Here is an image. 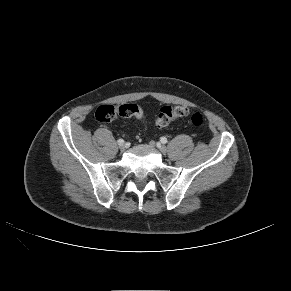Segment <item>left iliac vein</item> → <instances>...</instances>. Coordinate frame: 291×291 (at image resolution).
I'll return each mask as SVG.
<instances>
[{
  "label": "left iliac vein",
  "instance_id": "obj_1",
  "mask_svg": "<svg viewBox=\"0 0 291 291\" xmlns=\"http://www.w3.org/2000/svg\"><path fill=\"white\" fill-rule=\"evenodd\" d=\"M151 146L153 147L154 146V143H151ZM159 150L161 153L165 154L167 149L165 146H159Z\"/></svg>",
  "mask_w": 291,
  "mask_h": 291
}]
</instances>
